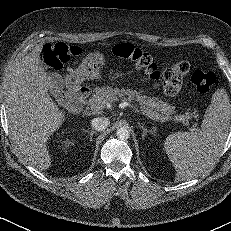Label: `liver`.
Wrapping results in <instances>:
<instances>
[{
	"mask_svg": "<svg viewBox=\"0 0 231 231\" xmlns=\"http://www.w3.org/2000/svg\"><path fill=\"white\" fill-rule=\"evenodd\" d=\"M37 44L17 65L6 92V110L10 134L27 160L40 170L51 166L47 150L50 137L65 121L50 97L49 79Z\"/></svg>",
	"mask_w": 231,
	"mask_h": 231,
	"instance_id": "obj_1",
	"label": "liver"
}]
</instances>
